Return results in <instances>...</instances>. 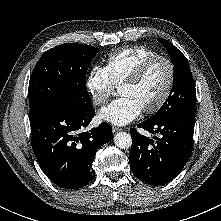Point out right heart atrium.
Listing matches in <instances>:
<instances>
[{
    "label": "right heart atrium",
    "mask_w": 221,
    "mask_h": 221,
    "mask_svg": "<svg viewBox=\"0 0 221 221\" xmlns=\"http://www.w3.org/2000/svg\"><path fill=\"white\" fill-rule=\"evenodd\" d=\"M85 85L96 106L105 104L115 87L107 67L101 65L91 67Z\"/></svg>",
    "instance_id": "1"
}]
</instances>
